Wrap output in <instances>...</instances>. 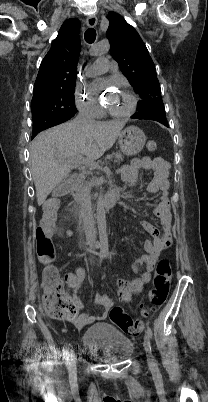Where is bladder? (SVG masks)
<instances>
[{
	"label": "bladder",
	"mask_w": 208,
	"mask_h": 402,
	"mask_svg": "<svg viewBox=\"0 0 208 402\" xmlns=\"http://www.w3.org/2000/svg\"><path fill=\"white\" fill-rule=\"evenodd\" d=\"M83 345L98 359L117 361L131 355L133 341L113 325L95 324L84 331Z\"/></svg>",
	"instance_id": "31cf9c89"
}]
</instances>
